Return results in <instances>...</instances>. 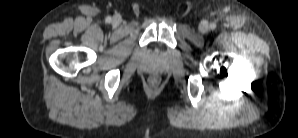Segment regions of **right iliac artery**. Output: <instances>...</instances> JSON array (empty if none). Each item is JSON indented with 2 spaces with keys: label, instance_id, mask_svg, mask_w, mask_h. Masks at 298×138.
I'll return each mask as SVG.
<instances>
[{
  "label": "right iliac artery",
  "instance_id": "1",
  "mask_svg": "<svg viewBox=\"0 0 298 138\" xmlns=\"http://www.w3.org/2000/svg\"><path fill=\"white\" fill-rule=\"evenodd\" d=\"M105 21H106V23H110L111 22V17H106V19H105Z\"/></svg>",
  "mask_w": 298,
  "mask_h": 138
}]
</instances>
